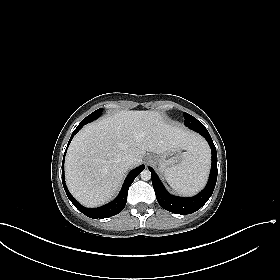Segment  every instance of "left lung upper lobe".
Wrapping results in <instances>:
<instances>
[{"label": "left lung upper lobe", "mask_w": 280, "mask_h": 280, "mask_svg": "<svg viewBox=\"0 0 280 280\" xmlns=\"http://www.w3.org/2000/svg\"><path fill=\"white\" fill-rule=\"evenodd\" d=\"M184 124L185 126L192 128L193 126H200L202 125L201 122H199L196 118H194L192 115L184 112Z\"/></svg>", "instance_id": "left-lung-upper-lobe-1"}]
</instances>
